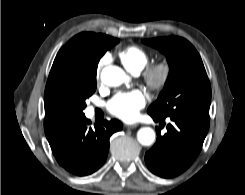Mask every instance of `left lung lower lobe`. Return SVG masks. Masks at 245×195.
I'll return each instance as SVG.
<instances>
[{
  "instance_id": "left-lung-lower-lobe-1",
  "label": "left lung lower lobe",
  "mask_w": 245,
  "mask_h": 195,
  "mask_svg": "<svg viewBox=\"0 0 245 195\" xmlns=\"http://www.w3.org/2000/svg\"><path fill=\"white\" fill-rule=\"evenodd\" d=\"M154 121L164 119L151 115ZM167 133L160 135L157 128V140L145 154L148 169L163 178H172L188 169L202 149L210 121L184 117H170Z\"/></svg>"
}]
</instances>
